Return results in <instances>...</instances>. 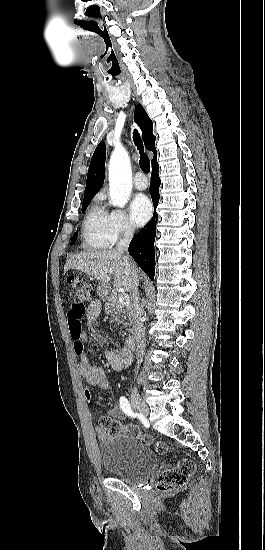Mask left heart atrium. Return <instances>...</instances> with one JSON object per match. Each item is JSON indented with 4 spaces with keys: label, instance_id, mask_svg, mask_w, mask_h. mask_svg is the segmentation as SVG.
<instances>
[{
    "label": "left heart atrium",
    "instance_id": "1",
    "mask_svg": "<svg viewBox=\"0 0 265 550\" xmlns=\"http://www.w3.org/2000/svg\"><path fill=\"white\" fill-rule=\"evenodd\" d=\"M130 214L135 225H144L152 215V204L149 198L143 194L135 196L130 203Z\"/></svg>",
    "mask_w": 265,
    "mask_h": 550
}]
</instances>
